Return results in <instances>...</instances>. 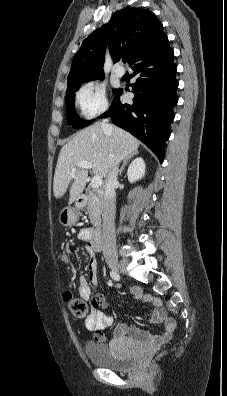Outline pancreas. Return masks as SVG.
<instances>
[{"label": "pancreas", "instance_id": "cf45deb5", "mask_svg": "<svg viewBox=\"0 0 227 396\" xmlns=\"http://www.w3.org/2000/svg\"><path fill=\"white\" fill-rule=\"evenodd\" d=\"M102 210L103 202L101 195L89 190L87 212L92 225L99 226L101 224Z\"/></svg>", "mask_w": 227, "mask_h": 396}]
</instances>
